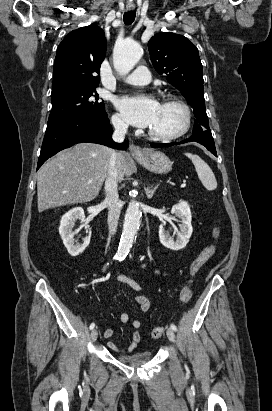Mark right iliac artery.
<instances>
[{
	"label": "right iliac artery",
	"instance_id": "1",
	"mask_svg": "<svg viewBox=\"0 0 272 411\" xmlns=\"http://www.w3.org/2000/svg\"><path fill=\"white\" fill-rule=\"evenodd\" d=\"M109 265V263H107L106 265H105V268L107 267ZM104 268V269H105ZM94 327H95V323H91V325H90V330H92V329H94Z\"/></svg>",
	"mask_w": 272,
	"mask_h": 411
}]
</instances>
